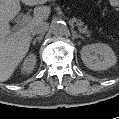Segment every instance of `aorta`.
Wrapping results in <instances>:
<instances>
[{
  "label": "aorta",
  "instance_id": "obj_1",
  "mask_svg": "<svg viewBox=\"0 0 119 119\" xmlns=\"http://www.w3.org/2000/svg\"><path fill=\"white\" fill-rule=\"evenodd\" d=\"M51 31L54 36H64L68 33V27L63 21H54L51 23Z\"/></svg>",
  "mask_w": 119,
  "mask_h": 119
}]
</instances>
